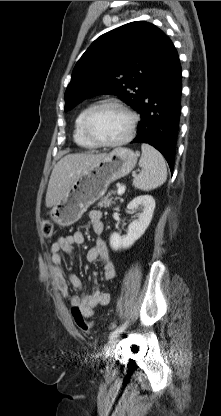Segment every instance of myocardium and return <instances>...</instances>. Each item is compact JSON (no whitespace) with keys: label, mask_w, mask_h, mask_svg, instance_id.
Listing matches in <instances>:
<instances>
[{"label":"myocardium","mask_w":221,"mask_h":416,"mask_svg":"<svg viewBox=\"0 0 221 416\" xmlns=\"http://www.w3.org/2000/svg\"><path fill=\"white\" fill-rule=\"evenodd\" d=\"M115 106L123 110L130 118V125L127 134L121 139L115 141H103L98 139L91 131L90 124L95 114L104 107ZM138 123L137 114L125 103L117 99H106L95 104L85 115L83 120V131L86 137L96 146L117 147L128 143L134 136Z\"/></svg>","instance_id":"f54148a6"}]
</instances>
